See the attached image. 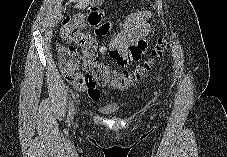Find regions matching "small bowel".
<instances>
[{
  "mask_svg": "<svg viewBox=\"0 0 227 157\" xmlns=\"http://www.w3.org/2000/svg\"><path fill=\"white\" fill-rule=\"evenodd\" d=\"M150 17V11L132 13L126 19L122 31L111 40L108 46H99L98 51L101 54L107 53L111 61L120 66L129 62H138L145 48L141 39L151 32V26L148 23ZM74 87L81 92H86L94 101L100 99L101 93H106V89L101 92L97 85L89 84L81 74L79 82Z\"/></svg>",
  "mask_w": 227,
  "mask_h": 157,
  "instance_id": "c3829d8e",
  "label": "small bowel"
}]
</instances>
